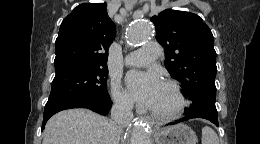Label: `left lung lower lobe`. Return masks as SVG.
Here are the masks:
<instances>
[{
    "mask_svg": "<svg viewBox=\"0 0 260 144\" xmlns=\"http://www.w3.org/2000/svg\"><path fill=\"white\" fill-rule=\"evenodd\" d=\"M194 118H203L207 119L210 122L214 123L216 126H218V116H217V110H212V109H203L195 113H187L185 117L182 119L170 123V125L177 124L179 122H183L189 119H194Z\"/></svg>",
    "mask_w": 260,
    "mask_h": 144,
    "instance_id": "obj_1",
    "label": "left lung lower lobe"
}]
</instances>
